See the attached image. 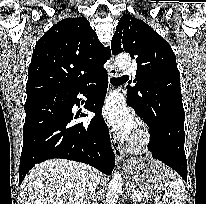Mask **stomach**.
I'll return each instance as SVG.
<instances>
[{
    "instance_id": "0dacf381",
    "label": "stomach",
    "mask_w": 206,
    "mask_h": 204,
    "mask_svg": "<svg viewBox=\"0 0 206 204\" xmlns=\"http://www.w3.org/2000/svg\"><path fill=\"white\" fill-rule=\"evenodd\" d=\"M126 172L130 188L138 195H156L166 189L169 170L161 162L153 159H132Z\"/></svg>"
}]
</instances>
